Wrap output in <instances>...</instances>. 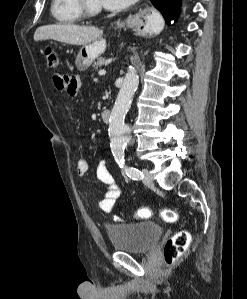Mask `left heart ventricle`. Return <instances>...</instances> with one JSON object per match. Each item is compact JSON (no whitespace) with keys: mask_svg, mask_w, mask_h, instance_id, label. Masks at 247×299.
<instances>
[{"mask_svg":"<svg viewBox=\"0 0 247 299\" xmlns=\"http://www.w3.org/2000/svg\"><path fill=\"white\" fill-rule=\"evenodd\" d=\"M94 5H100L99 0H90Z\"/></svg>","mask_w":247,"mask_h":299,"instance_id":"obj_1","label":"left heart ventricle"}]
</instances>
